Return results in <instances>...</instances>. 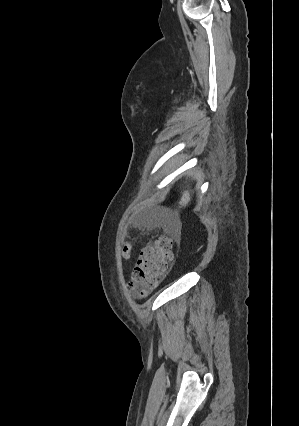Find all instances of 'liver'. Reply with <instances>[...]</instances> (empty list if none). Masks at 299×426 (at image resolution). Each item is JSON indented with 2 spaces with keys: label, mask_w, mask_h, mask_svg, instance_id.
Returning <instances> with one entry per match:
<instances>
[{
  "label": "liver",
  "mask_w": 299,
  "mask_h": 426,
  "mask_svg": "<svg viewBox=\"0 0 299 426\" xmlns=\"http://www.w3.org/2000/svg\"><path fill=\"white\" fill-rule=\"evenodd\" d=\"M190 200H191L190 191H189V190H185V191L182 193V197H181V199H180V201H179V205H180V207H186V206H187V204L190 202ZM176 214H177V216H178V211H177V210H176Z\"/></svg>",
  "instance_id": "6515ba94"
}]
</instances>
